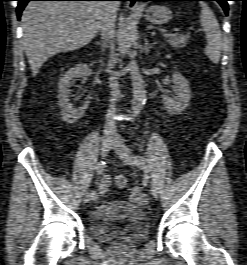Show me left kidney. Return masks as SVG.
I'll return each mask as SVG.
<instances>
[{
    "label": "left kidney",
    "instance_id": "5707ae66",
    "mask_svg": "<svg viewBox=\"0 0 247 265\" xmlns=\"http://www.w3.org/2000/svg\"><path fill=\"white\" fill-rule=\"evenodd\" d=\"M172 83L174 95L171 97L169 94H164L162 103L170 115H178L188 107L191 89L189 81L177 71L172 75Z\"/></svg>",
    "mask_w": 247,
    "mask_h": 265
}]
</instances>
